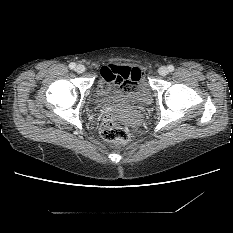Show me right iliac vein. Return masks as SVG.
<instances>
[{
  "label": "right iliac vein",
  "mask_w": 233,
  "mask_h": 233,
  "mask_svg": "<svg viewBox=\"0 0 233 233\" xmlns=\"http://www.w3.org/2000/svg\"><path fill=\"white\" fill-rule=\"evenodd\" d=\"M75 71L77 73H83L85 71V66L82 65V64H79V65L76 66Z\"/></svg>",
  "instance_id": "1"
}]
</instances>
